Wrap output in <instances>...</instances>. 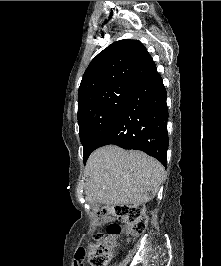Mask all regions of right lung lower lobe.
Here are the masks:
<instances>
[{"label": "right lung lower lobe", "mask_w": 221, "mask_h": 266, "mask_svg": "<svg viewBox=\"0 0 221 266\" xmlns=\"http://www.w3.org/2000/svg\"><path fill=\"white\" fill-rule=\"evenodd\" d=\"M167 93L157 72L140 84L120 114L100 137L95 149L114 144L146 152L166 166L168 148Z\"/></svg>", "instance_id": "right-lung-lower-lobe-1"}]
</instances>
